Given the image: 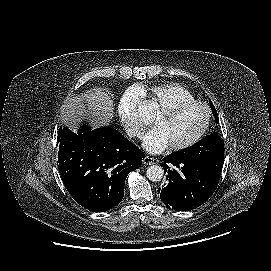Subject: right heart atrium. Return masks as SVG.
I'll list each match as a JSON object with an SVG mask.
<instances>
[{"mask_svg": "<svg viewBox=\"0 0 271 271\" xmlns=\"http://www.w3.org/2000/svg\"><path fill=\"white\" fill-rule=\"evenodd\" d=\"M143 101L140 88L131 86L123 93L118 113L123 127L132 138L140 139L144 133L145 125L138 115V106Z\"/></svg>", "mask_w": 271, "mask_h": 271, "instance_id": "1", "label": "right heart atrium"}]
</instances>
